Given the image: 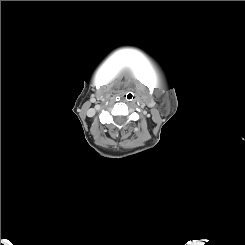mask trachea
I'll return each instance as SVG.
<instances>
[{
	"label": "trachea",
	"mask_w": 245,
	"mask_h": 245,
	"mask_svg": "<svg viewBox=\"0 0 245 245\" xmlns=\"http://www.w3.org/2000/svg\"><path fill=\"white\" fill-rule=\"evenodd\" d=\"M134 98V95H133V93H131V92H129L128 94H127V96H126V99L127 100H132Z\"/></svg>",
	"instance_id": "obj_1"
}]
</instances>
